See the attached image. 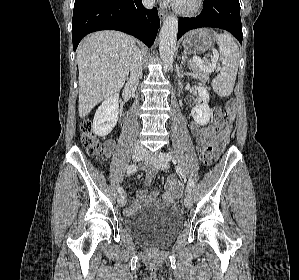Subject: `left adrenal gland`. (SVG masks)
Segmentation results:
<instances>
[{
    "label": "left adrenal gland",
    "instance_id": "obj_1",
    "mask_svg": "<svg viewBox=\"0 0 299 280\" xmlns=\"http://www.w3.org/2000/svg\"><path fill=\"white\" fill-rule=\"evenodd\" d=\"M186 62L188 63V65L191 66V63L189 61V58L187 57L186 51H183L181 64L184 66L186 64Z\"/></svg>",
    "mask_w": 299,
    "mask_h": 280
}]
</instances>
